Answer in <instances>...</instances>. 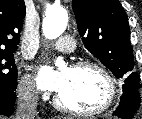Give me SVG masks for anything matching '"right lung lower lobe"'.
<instances>
[{"instance_id": "right-lung-lower-lobe-1", "label": "right lung lower lobe", "mask_w": 142, "mask_h": 119, "mask_svg": "<svg viewBox=\"0 0 142 119\" xmlns=\"http://www.w3.org/2000/svg\"><path fill=\"white\" fill-rule=\"evenodd\" d=\"M16 93L14 91H0V115L13 114Z\"/></svg>"}]
</instances>
